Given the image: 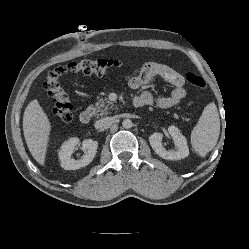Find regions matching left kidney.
Masks as SVG:
<instances>
[{"mask_svg": "<svg viewBox=\"0 0 249 249\" xmlns=\"http://www.w3.org/2000/svg\"><path fill=\"white\" fill-rule=\"evenodd\" d=\"M168 132L171 135L176 150H166L162 145V133H153L149 137V142L154 152L166 160H179L189 155V148L185 136L182 135L176 126H169Z\"/></svg>", "mask_w": 249, "mask_h": 249, "instance_id": "left-kidney-1", "label": "left kidney"}]
</instances>
